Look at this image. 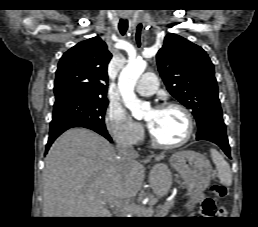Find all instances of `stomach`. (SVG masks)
<instances>
[{"instance_id": "0dacf381", "label": "stomach", "mask_w": 258, "mask_h": 227, "mask_svg": "<svg viewBox=\"0 0 258 227\" xmlns=\"http://www.w3.org/2000/svg\"><path fill=\"white\" fill-rule=\"evenodd\" d=\"M169 163L182 178L187 196L193 197L209 186L212 167L204 155L194 151H179L171 155Z\"/></svg>"}]
</instances>
